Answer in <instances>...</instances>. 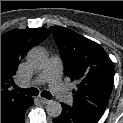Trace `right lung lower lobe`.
Wrapping results in <instances>:
<instances>
[{
    "mask_svg": "<svg viewBox=\"0 0 123 123\" xmlns=\"http://www.w3.org/2000/svg\"><path fill=\"white\" fill-rule=\"evenodd\" d=\"M33 105L29 97L24 103L1 111V123H25V111Z\"/></svg>",
    "mask_w": 123,
    "mask_h": 123,
    "instance_id": "obj_1",
    "label": "right lung lower lobe"
}]
</instances>
